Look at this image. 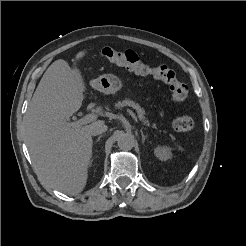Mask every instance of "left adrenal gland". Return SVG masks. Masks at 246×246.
Wrapping results in <instances>:
<instances>
[{"label":"left adrenal gland","mask_w":246,"mask_h":246,"mask_svg":"<svg viewBox=\"0 0 246 246\" xmlns=\"http://www.w3.org/2000/svg\"><path fill=\"white\" fill-rule=\"evenodd\" d=\"M140 132H141V136H142V143H144L145 140L147 139V137L144 135L142 130H140Z\"/></svg>","instance_id":"left-adrenal-gland-1"}]
</instances>
